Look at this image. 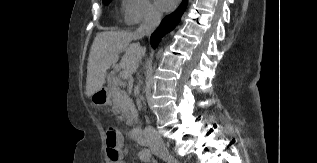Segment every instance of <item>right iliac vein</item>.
<instances>
[{"mask_svg": "<svg viewBox=\"0 0 317 163\" xmlns=\"http://www.w3.org/2000/svg\"><path fill=\"white\" fill-rule=\"evenodd\" d=\"M169 163H179V162H177L176 160H171L169 161Z\"/></svg>", "mask_w": 317, "mask_h": 163, "instance_id": "right-iliac-vein-1", "label": "right iliac vein"}]
</instances>
